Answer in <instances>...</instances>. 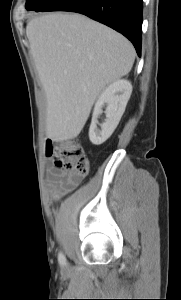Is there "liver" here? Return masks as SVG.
<instances>
[{
  "label": "liver",
  "instance_id": "liver-1",
  "mask_svg": "<svg viewBox=\"0 0 181 300\" xmlns=\"http://www.w3.org/2000/svg\"><path fill=\"white\" fill-rule=\"evenodd\" d=\"M46 95V136L77 137L101 91L127 75L133 45L120 33L77 13H49L26 27Z\"/></svg>",
  "mask_w": 181,
  "mask_h": 300
}]
</instances>
